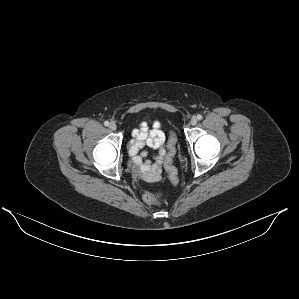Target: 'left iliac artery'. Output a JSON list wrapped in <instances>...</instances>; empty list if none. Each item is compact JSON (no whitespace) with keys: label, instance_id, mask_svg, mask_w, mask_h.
<instances>
[{"label":"left iliac artery","instance_id":"obj_1","mask_svg":"<svg viewBox=\"0 0 299 299\" xmlns=\"http://www.w3.org/2000/svg\"><path fill=\"white\" fill-rule=\"evenodd\" d=\"M202 118H203L202 115H200V114L197 115V119H198V120H201Z\"/></svg>","mask_w":299,"mask_h":299}]
</instances>
